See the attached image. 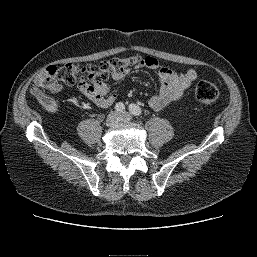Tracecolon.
Masks as SVG:
<instances>
[{"instance_id":"1","label":"colon","mask_w":257,"mask_h":257,"mask_svg":"<svg viewBox=\"0 0 257 257\" xmlns=\"http://www.w3.org/2000/svg\"><path fill=\"white\" fill-rule=\"evenodd\" d=\"M142 58L135 55L112 58L100 64L80 66L67 63L60 67L49 66L37 77L31 89L33 96L48 110H54L56 103L51 96L58 82L66 85L85 86L95 82H105L110 76L124 74L131 66L140 64ZM217 87L208 81H200L195 87V97L204 104H211L218 99Z\"/></svg>"}]
</instances>
